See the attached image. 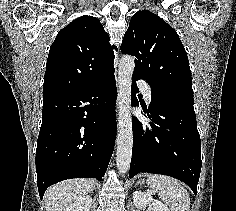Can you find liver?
<instances>
[{"instance_id": "obj_1", "label": "liver", "mask_w": 236, "mask_h": 211, "mask_svg": "<svg viewBox=\"0 0 236 211\" xmlns=\"http://www.w3.org/2000/svg\"><path fill=\"white\" fill-rule=\"evenodd\" d=\"M93 181L88 179L65 180L49 187L44 194L46 211H64L72 202L89 194Z\"/></svg>"}]
</instances>
